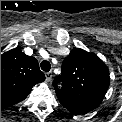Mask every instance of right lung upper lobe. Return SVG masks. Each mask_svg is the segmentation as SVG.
<instances>
[{"label":"right lung upper lobe","instance_id":"obj_1","mask_svg":"<svg viewBox=\"0 0 122 122\" xmlns=\"http://www.w3.org/2000/svg\"><path fill=\"white\" fill-rule=\"evenodd\" d=\"M45 80L36 58L15 48L1 54V106L23 101L32 87Z\"/></svg>","mask_w":122,"mask_h":122}]
</instances>
